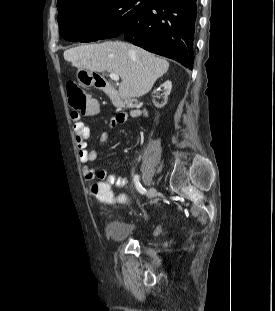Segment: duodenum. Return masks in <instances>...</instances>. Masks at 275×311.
<instances>
[{
	"mask_svg": "<svg viewBox=\"0 0 275 311\" xmlns=\"http://www.w3.org/2000/svg\"><path fill=\"white\" fill-rule=\"evenodd\" d=\"M90 73L91 80L95 84L96 88L108 95L115 104L126 105L129 107H133L135 105L133 101H123L114 86L109 81L105 80V77H100V75L97 74V70L93 69Z\"/></svg>",
	"mask_w": 275,
	"mask_h": 311,
	"instance_id": "obj_1",
	"label": "duodenum"
}]
</instances>
